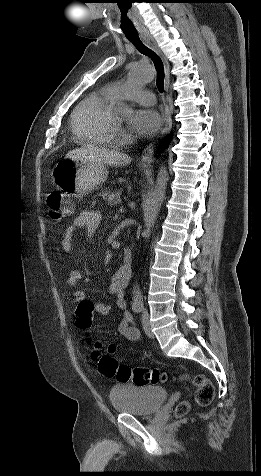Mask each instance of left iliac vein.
I'll return each mask as SVG.
<instances>
[{"label":"left iliac vein","instance_id":"1","mask_svg":"<svg viewBox=\"0 0 261 476\" xmlns=\"http://www.w3.org/2000/svg\"><path fill=\"white\" fill-rule=\"evenodd\" d=\"M142 324H143V329L146 335L148 337H153V333L151 331L150 322H149V314L146 311L142 315Z\"/></svg>","mask_w":261,"mask_h":476}]
</instances>
